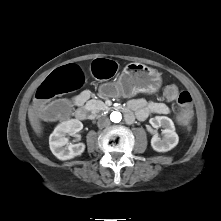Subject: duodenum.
I'll return each instance as SVG.
<instances>
[{
  "instance_id": "duodenum-1",
  "label": "duodenum",
  "mask_w": 221,
  "mask_h": 221,
  "mask_svg": "<svg viewBox=\"0 0 221 221\" xmlns=\"http://www.w3.org/2000/svg\"><path fill=\"white\" fill-rule=\"evenodd\" d=\"M75 116L78 120L85 121L89 117V112L84 108H80L76 110ZM125 117L128 122H131L133 120V115L129 109L125 110Z\"/></svg>"
}]
</instances>
